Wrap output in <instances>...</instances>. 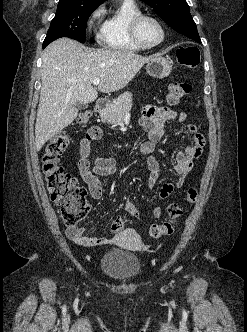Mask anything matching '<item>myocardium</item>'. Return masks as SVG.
Returning <instances> with one entry per match:
<instances>
[{"instance_id": "1", "label": "myocardium", "mask_w": 247, "mask_h": 332, "mask_svg": "<svg viewBox=\"0 0 247 332\" xmlns=\"http://www.w3.org/2000/svg\"><path fill=\"white\" fill-rule=\"evenodd\" d=\"M144 19H152L160 27L161 39L158 42L148 45V44L143 43L142 40L140 39L139 26ZM130 35H131V38L134 41V43L136 45H138L141 49H151V48H155L163 43V41L165 40V37H166V31H165V27H164L162 21L158 17H156L152 14L141 13L132 20V22L130 24Z\"/></svg>"}]
</instances>
